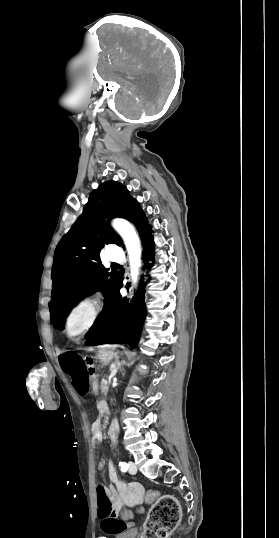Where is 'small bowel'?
<instances>
[{
	"mask_svg": "<svg viewBox=\"0 0 279 538\" xmlns=\"http://www.w3.org/2000/svg\"><path fill=\"white\" fill-rule=\"evenodd\" d=\"M72 384L75 392L81 397L87 396L92 391V383L86 372L73 374ZM91 431L93 443L101 444L103 441L101 422L95 421L92 424ZM111 440L114 444L116 443L115 430L111 434ZM104 467L105 462H99L98 470H103ZM108 470L112 484L107 491L112 504L113 513L109 517H102V528L107 533H117L130 528L133 524L132 522L118 519V513L124 507H133L141 504L144 500V488L138 482H131L129 485H126L120 481L112 463L108 464Z\"/></svg>",
	"mask_w": 279,
	"mask_h": 538,
	"instance_id": "1",
	"label": "small bowel"
}]
</instances>
